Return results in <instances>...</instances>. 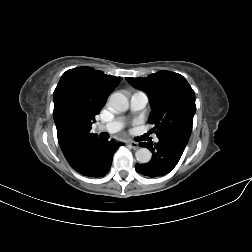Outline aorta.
<instances>
[{
	"mask_svg": "<svg viewBox=\"0 0 252 252\" xmlns=\"http://www.w3.org/2000/svg\"><path fill=\"white\" fill-rule=\"evenodd\" d=\"M109 105L117 112H125L129 108V101L124 94L115 92L109 97ZM135 156L138 162L148 163L152 154L147 148H140L136 151Z\"/></svg>",
	"mask_w": 252,
	"mask_h": 252,
	"instance_id": "762f6f07",
	"label": "aorta"
}]
</instances>
